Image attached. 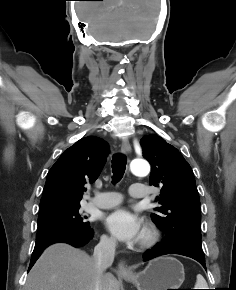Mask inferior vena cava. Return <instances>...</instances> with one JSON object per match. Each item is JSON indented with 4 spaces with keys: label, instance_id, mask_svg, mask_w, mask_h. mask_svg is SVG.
Here are the masks:
<instances>
[{
    "label": "inferior vena cava",
    "instance_id": "1",
    "mask_svg": "<svg viewBox=\"0 0 236 290\" xmlns=\"http://www.w3.org/2000/svg\"><path fill=\"white\" fill-rule=\"evenodd\" d=\"M116 239L113 237H101L100 242L94 248L93 261L98 270V279L95 290H100L99 277L104 274L114 261Z\"/></svg>",
    "mask_w": 236,
    "mask_h": 290
}]
</instances>
